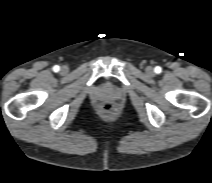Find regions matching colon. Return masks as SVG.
Listing matches in <instances>:
<instances>
[{"label":"colon","mask_w":212,"mask_h":183,"mask_svg":"<svg viewBox=\"0 0 212 183\" xmlns=\"http://www.w3.org/2000/svg\"><path fill=\"white\" fill-rule=\"evenodd\" d=\"M101 112L108 116L114 113L115 111V105L111 102H104L100 105Z\"/></svg>","instance_id":"5ec220e1"}]
</instances>
